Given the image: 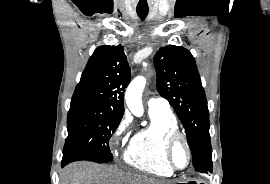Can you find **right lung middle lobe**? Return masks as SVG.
I'll use <instances>...</instances> for the list:
<instances>
[{
	"label": "right lung middle lobe",
	"mask_w": 270,
	"mask_h": 184,
	"mask_svg": "<svg viewBox=\"0 0 270 184\" xmlns=\"http://www.w3.org/2000/svg\"><path fill=\"white\" fill-rule=\"evenodd\" d=\"M120 121L121 118L101 112L89 103L71 102L62 166L76 160L112 161L108 143Z\"/></svg>",
	"instance_id": "obj_1"
}]
</instances>
